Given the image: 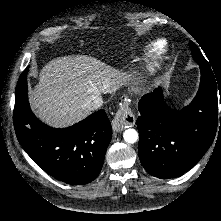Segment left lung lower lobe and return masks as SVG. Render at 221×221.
<instances>
[{
  "label": "left lung lower lobe",
  "instance_id": "0a47b994",
  "mask_svg": "<svg viewBox=\"0 0 221 221\" xmlns=\"http://www.w3.org/2000/svg\"><path fill=\"white\" fill-rule=\"evenodd\" d=\"M199 66L201 82L198 93L184 109L169 108L161 88L143 96L139 102L140 116L136 122L139 158L145 170L155 177L174 178L190 170L218 132L220 80L210 65Z\"/></svg>",
  "mask_w": 221,
  "mask_h": 221
}]
</instances>
